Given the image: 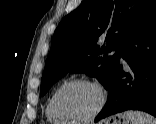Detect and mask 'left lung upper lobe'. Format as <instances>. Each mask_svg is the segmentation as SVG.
I'll return each mask as SVG.
<instances>
[{
    "instance_id": "left-lung-upper-lobe-1",
    "label": "left lung upper lobe",
    "mask_w": 156,
    "mask_h": 124,
    "mask_svg": "<svg viewBox=\"0 0 156 124\" xmlns=\"http://www.w3.org/2000/svg\"><path fill=\"white\" fill-rule=\"evenodd\" d=\"M155 0H84L60 22L41 79V95L68 72L96 77L107 89L127 40ZM106 44H98L99 38ZM115 50V54L108 53Z\"/></svg>"
}]
</instances>
